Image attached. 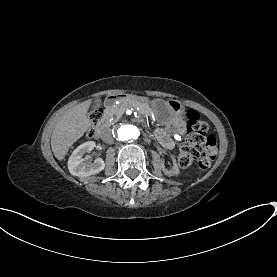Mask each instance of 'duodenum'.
<instances>
[{"label":"duodenum","mask_w":277,"mask_h":277,"mask_svg":"<svg viewBox=\"0 0 277 277\" xmlns=\"http://www.w3.org/2000/svg\"><path fill=\"white\" fill-rule=\"evenodd\" d=\"M128 99V96L125 94H115L109 96L106 101H105V107H104V112H103V118L102 120L97 124L96 129H95V136L100 137L102 133L105 130L106 127V116L109 113V111L114 107V105L118 101L126 100Z\"/></svg>","instance_id":"duodenum-1"}]
</instances>
